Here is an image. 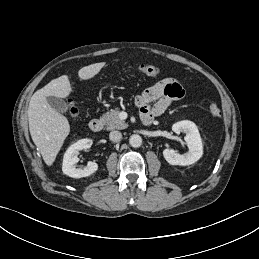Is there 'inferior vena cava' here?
I'll list each match as a JSON object with an SVG mask.
<instances>
[{
	"label": "inferior vena cava",
	"mask_w": 259,
	"mask_h": 259,
	"mask_svg": "<svg viewBox=\"0 0 259 259\" xmlns=\"http://www.w3.org/2000/svg\"><path fill=\"white\" fill-rule=\"evenodd\" d=\"M109 138L111 141H119L122 138V134L119 131H112L109 134Z\"/></svg>",
	"instance_id": "obj_1"
}]
</instances>
